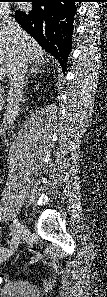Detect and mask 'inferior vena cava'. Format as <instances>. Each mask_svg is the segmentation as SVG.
I'll return each mask as SVG.
<instances>
[{
	"label": "inferior vena cava",
	"mask_w": 107,
	"mask_h": 297,
	"mask_svg": "<svg viewBox=\"0 0 107 297\" xmlns=\"http://www.w3.org/2000/svg\"><path fill=\"white\" fill-rule=\"evenodd\" d=\"M20 27L18 23L9 15L1 18L0 31L6 35L18 36ZM31 64L30 58L24 51H20L9 71V93L5 119L8 128H14V121L19 113L20 102L23 97V88L25 86V75Z\"/></svg>",
	"instance_id": "602c4592"
}]
</instances>
